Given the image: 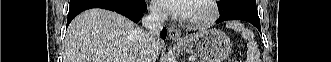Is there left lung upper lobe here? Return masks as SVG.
Returning <instances> with one entry per match:
<instances>
[{"label":"left lung upper lobe","mask_w":331,"mask_h":62,"mask_svg":"<svg viewBox=\"0 0 331 62\" xmlns=\"http://www.w3.org/2000/svg\"><path fill=\"white\" fill-rule=\"evenodd\" d=\"M218 6L223 9V12H227L238 7L257 11L256 0H220Z\"/></svg>","instance_id":"left-lung-upper-lobe-1"}]
</instances>
